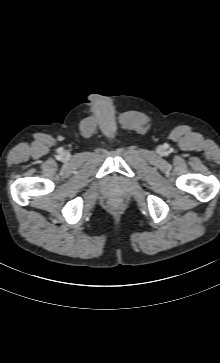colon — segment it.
<instances>
[{
  "mask_svg": "<svg viewBox=\"0 0 220 363\" xmlns=\"http://www.w3.org/2000/svg\"><path fill=\"white\" fill-rule=\"evenodd\" d=\"M112 206L117 207L118 206V203L117 202H113L112 203Z\"/></svg>",
  "mask_w": 220,
  "mask_h": 363,
  "instance_id": "obj_1",
  "label": "colon"
}]
</instances>
